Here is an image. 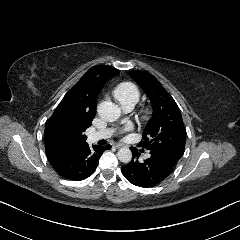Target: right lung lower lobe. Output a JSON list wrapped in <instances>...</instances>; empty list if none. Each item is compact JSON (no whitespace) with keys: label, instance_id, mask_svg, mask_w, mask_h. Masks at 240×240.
Here are the masks:
<instances>
[{"label":"right lung lower lobe","instance_id":"right-lung-lower-lobe-1","mask_svg":"<svg viewBox=\"0 0 240 240\" xmlns=\"http://www.w3.org/2000/svg\"><path fill=\"white\" fill-rule=\"evenodd\" d=\"M110 145L90 148L84 146L77 151H67L48 156L55 171L63 178L69 180H84L95 171L102 153L110 149Z\"/></svg>","mask_w":240,"mask_h":240}]
</instances>
